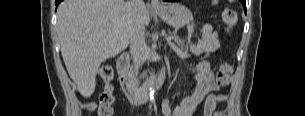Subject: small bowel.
Returning <instances> with one entry per match:
<instances>
[{
	"mask_svg": "<svg viewBox=\"0 0 305 116\" xmlns=\"http://www.w3.org/2000/svg\"><path fill=\"white\" fill-rule=\"evenodd\" d=\"M192 72L197 83L193 94L183 97L175 108L170 106L168 100H164L162 102L164 116H195L201 105L204 116H222L223 113L216 110V105L224 102L227 96L216 94L219 86L215 82L211 65L206 61L200 62Z\"/></svg>",
	"mask_w": 305,
	"mask_h": 116,
	"instance_id": "1",
	"label": "small bowel"
}]
</instances>
